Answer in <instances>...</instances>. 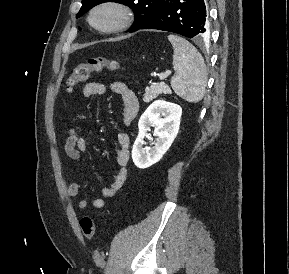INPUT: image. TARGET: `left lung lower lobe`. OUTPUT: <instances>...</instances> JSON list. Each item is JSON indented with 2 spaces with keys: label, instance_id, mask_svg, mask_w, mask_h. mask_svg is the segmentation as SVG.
I'll return each mask as SVG.
<instances>
[{
  "label": "left lung lower lobe",
  "instance_id": "left-lung-lower-lobe-1",
  "mask_svg": "<svg viewBox=\"0 0 289 274\" xmlns=\"http://www.w3.org/2000/svg\"><path fill=\"white\" fill-rule=\"evenodd\" d=\"M139 29L169 31L201 40L208 35L205 2L204 0H165L156 13L136 30Z\"/></svg>",
  "mask_w": 289,
  "mask_h": 274
}]
</instances>
